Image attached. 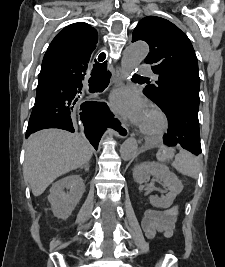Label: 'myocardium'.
Returning <instances> with one entry per match:
<instances>
[{"label": "myocardium", "instance_id": "myocardium-1", "mask_svg": "<svg viewBox=\"0 0 225 267\" xmlns=\"http://www.w3.org/2000/svg\"><path fill=\"white\" fill-rule=\"evenodd\" d=\"M148 113L153 115L157 119L158 126L153 129H146L144 127H141V133H143L148 138L161 137L167 131L169 126L167 116L162 110L156 107L150 108Z\"/></svg>", "mask_w": 225, "mask_h": 267}]
</instances>
